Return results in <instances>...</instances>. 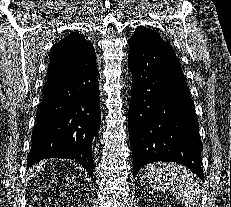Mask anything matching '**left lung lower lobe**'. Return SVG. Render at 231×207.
<instances>
[{
    "label": "left lung lower lobe",
    "instance_id": "0a47b994",
    "mask_svg": "<svg viewBox=\"0 0 231 207\" xmlns=\"http://www.w3.org/2000/svg\"><path fill=\"white\" fill-rule=\"evenodd\" d=\"M128 66L133 77V176L145 164L168 161L188 167L204 181L194 102L172 46L129 42Z\"/></svg>",
    "mask_w": 231,
    "mask_h": 207
}]
</instances>
